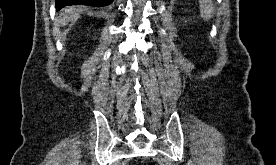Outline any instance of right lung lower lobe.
Returning a JSON list of instances; mask_svg holds the SVG:
<instances>
[{
	"mask_svg": "<svg viewBox=\"0 0 276 165\" xmlns=\"http://www.w3.org/2000/svg\"><path fill=\"white\" fill-rule=\"evenodd\" d=\"M113 0H56V9L59 10L62 7L68 6V5H89V6H96V7H102L107 6L111 4Z\"/></svg>",
	"mask_w": 276,
	"mask_h": 165,
	"instance_id": "right-lung-lower-lobe-1",
	"label": "right lung lower lobe"
}]
</instances>
